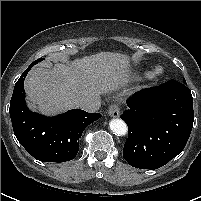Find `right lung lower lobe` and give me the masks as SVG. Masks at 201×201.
I'll use <instances>...</instances> for the list:
<instances>
[{"instance_id": "1", "label": "right lung lower lobe", "mask_w": 201, "mask_h": 201, "mask_svg": "<svg viewBox=\"0 0 201 201\" xmlns=\"http://www.w3.org/2000/svg\"><path fill=\"white\" fill-rule=\"evenodd\" d=\"M34 65L32 63L22 73L14 87L9 108L14 134L27 152L39 161L72 160L78 153V141L84 129L101 115L74 109L47 117L30 111L25 103L24 79Z\"/></svg>"}]
</instances>
